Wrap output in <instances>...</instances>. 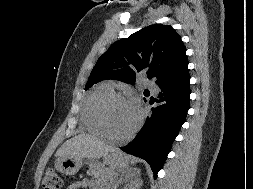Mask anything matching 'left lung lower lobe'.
<instances>
[{"label": "left lung lower lobe", "mask_w": 253, "mask_h": 189, "mask_svg": "<svg viewBox=\"0 0 253 189\" xmlns=\"http://www.w3.org/2000/svg\"><path fill=\"white\" fill-rule=\"evenodd\" d=\"M189 81L186 59L171 78L159 85L162 91L158 99H155L159 106L152 108L145 126L132 142L121 147L126 153L145 159L150 164L155 179L185 121L191 93Z\"/></svg>", "instance_id": "left-lung-lower-lobe-1"}]
</instances>
